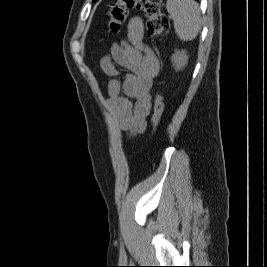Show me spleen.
Listing matches in <instances>:
<instances>
[{"mask_svg":"<svg viewBox=\"0 0 267 267\" xmlns=\"http://www.w3.org/2000/svg\"><path fill=\"white\" fill-rule=\"evenodd\" d=\"M166 9L173 18L174 29L182 41L193 40L201 27V15L195 0H167Z\"/></svg>","mask_w":267,"mask_h":267,"instance_id":"spleen-1","label":"spleen"}]
</instances>
